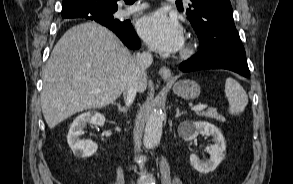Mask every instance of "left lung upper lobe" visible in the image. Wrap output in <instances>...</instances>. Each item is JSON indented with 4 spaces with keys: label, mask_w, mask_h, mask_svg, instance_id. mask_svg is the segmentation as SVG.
Listing matches in <instances>:
<instances>
[{
    "label": "left lung upper lobe",
    "mask_w": 293,
    "mask_h": 184,
    "mask_svg": "<svg viewBox=\"0 0 293 184\" xmlns=\"http://www.w3.org/2000/svg\"><path fill=\"white\" fill-rule=\"evenodd\" d=\"M187 16L201 41L214 40L218 34L235 28L230 0H190ZM179 11H183L182 0H176Z\"/></svg>",
    "instance_id": "left-lung-upper-lobe-1"
}]
</instances>
